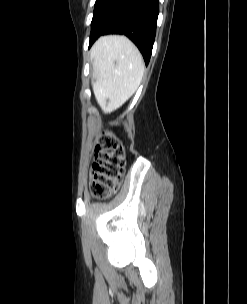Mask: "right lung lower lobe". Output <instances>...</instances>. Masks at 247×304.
Listing matches in <instances>:
<instances>
[{
    "label": "right lung lower lobe",
    "instance_id": "98d812e1",
    "mask_svg": "<svg viewBox=\"0 0 247 304\" xmlns=\"http://www.w3.org/2000/svg\"><path fill=\"white\" fill-rule=\"evenodd\" d=\"M159 0H96L89 48L103 34H124L149 63L156 34Z\"/></svg>",
    "mask_w": 247,
    "mask_h": 304
}]
</instances>
